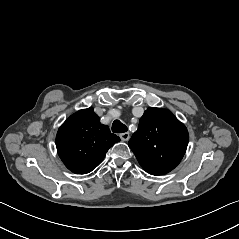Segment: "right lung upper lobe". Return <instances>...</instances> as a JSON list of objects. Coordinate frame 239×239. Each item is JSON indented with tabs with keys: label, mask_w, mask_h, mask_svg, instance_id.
<instances>
[{
	"label": "right lung upper lobe",
	"mask_w": 239,
	"mask_h": 239,
	"mask_svg": "<svg viewBox=\"0 0 239 239\" xmlns=\"http://www.w3.org/2000/svg\"><path fill=\"white\" fill-rule=\"evenodd\" d=\"M120 138L99 121L93 108L79 110L66 119L56 136L57 152L65 166L76 174L95 169Z\"/></svg>",
	"instance_id": "right-lung-upper-lobe-1"
}]
</instances>
